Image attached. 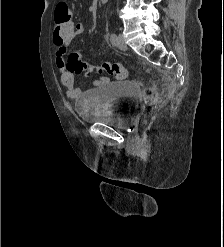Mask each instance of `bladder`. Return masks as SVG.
Segmentation results:
<instances>
[{"label": "bladder", "instance_id": "obj_1", "mask_svg": "<svg viewBox=\"0 0 224 247\" xmlns=\"http://www.w3.org/2000/svg\"><path fill=\"white\" fill-rule=\"evenodd\" d=\"M139 107L137 85L131 81H115L87 91L78 107V113L87 123L128 129L134 124Z\"/></svg>", "mask_w": 224, "mask_h": 247}]
</instances>
